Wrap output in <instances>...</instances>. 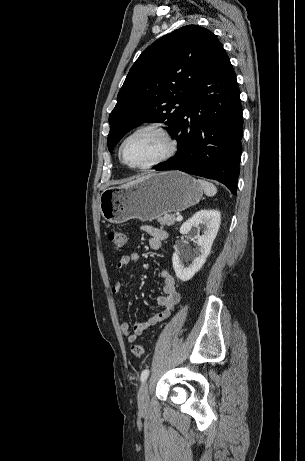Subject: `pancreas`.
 Listing matches in <instances>:
<instances>
[{
    "mask_svg": "<svg viewBox=\"0 0 305 461\" xmlns=\"http://www.w3.org/2000/svg\"><path fill=\"white\" fill-rule=\"evenodd\" d=\"M177 221V218L173 214H164L162 217H159L158 222L162 226H172Z\"/></svg>",
    "mask_w": 305,
    "mask_h": 461,
    "instance_id": "obj_1",
    "label": "pancreas"
}]
</instances>
